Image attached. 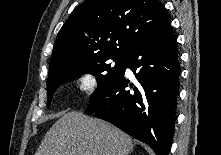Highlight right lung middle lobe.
<instances>
[{"label":"right lung middle lobe","mask_w":221,"mask_h":155,"mask_svg":"<svg viewBox=\"0 0 221 155\" xmlns=\"http://www.w3.org/2000/svg\"><path fill=\"white\" fill-rule=\"evenodd\" d=\"M126 57H107L97 60L80 61L68 67L59 69L49 74L47 80L48 105L51 103L53 93L59 85L74 80L84 73H90L96 77L98 82L97 91L90 96V101L105 92L118 78L123 70Z\"/></svg>","instance_id":"obj_1"}]
</instances>
